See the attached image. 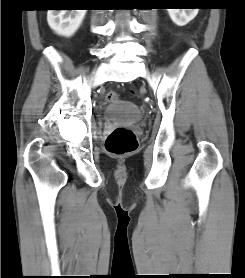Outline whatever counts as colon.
<instances>
[{"instance_id": "colon-1", "label": "colon", "mask_w": 245, "mask_h": 278, "mask_svg": "<svg viewBox=\"0 0 245 278\" xmlns=\"http://www.w3.org/2000/svg\"><path fill=\"white\" fill-rule=\"evenodd\" d=\"M117 95L114 92L106 94L107 101H114ZM106 151L113 157H123L134 153L138 148L137 138L126 127H116L108 135L105 142Z\"/></svg>"}]
</instances>
